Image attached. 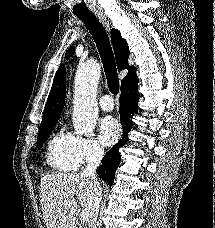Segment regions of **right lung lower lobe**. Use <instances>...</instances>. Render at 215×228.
Returning <instances> with one entry per match:
<instances>
[{
  "mask_svg": "<svg viewBox=\"0 0 215 228\" xmlns=\"http://www.w3.org/2000/svg\"><path fill=\"white\" fill-rule=\"evenodd\" d=\"M138 77L132 74L121 84L120 121L123 127V137L104 156L102 165L97 168V174L109 185L113 184L115 172L119 166L121 155L119 148L127 143L128 132L132 127V117L138 112Z\"/></svg>",
  "mask_w": 215,
  "mask_h": 228,
  "instance_id": "98d812e1",
  "label": "right lung lower lobe"
}]
</instances>
